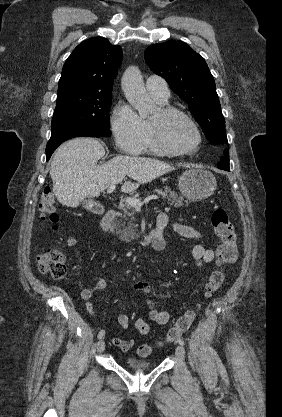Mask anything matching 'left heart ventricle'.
<instances>
[{"label": "left heart ventricle", "instance_id": "left-heart-ventricle-1", "mask_svg": "<svg viewBox=\"0 0 282 417\" xmlns=\"http://www.w3.org/2000/svg\"><path fill=\"white\" fill-rule=\"evenodd\" d=\"M155 125L161 126L167 141L176 147H189L195 143V135L187 123L179 118L163 119L158 109L149 118Z\"/></svg>", "mask_w": 282, "mask_h": 417}]
</instances>
